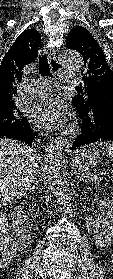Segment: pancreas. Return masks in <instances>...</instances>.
Masks as SVG:
<instances>
[{
	"label": "pancreas",
	"instance_id": "1",
	"mask_svg": "<svg viewBox=\"0 0 113 279\" xmlns=\"http://www.w3.org/2000/svg\"><path fill=\"white\" fill-rule=\"evenodd\" d=\"M84 175L86 176L87 180H91L96 185H99L102 180V177L97 176L95 174L85 173Z\"/></svg>",
	"mask_w": 113,
	"mask_h": 279
}]
</instances>
